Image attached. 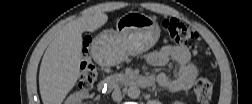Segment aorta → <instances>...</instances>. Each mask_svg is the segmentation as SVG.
<instances>
[{
    "label": "aorta",
    "mask_w": 252,
    "mask_h": 104,
    "mask_svg": "<svg viewBox=\"0 0 252 104\" xmlns=\"http://www.w3.org/2000/svg\"><path fill=\"white\" fill-rule=\"evenodd\" d=\"M140 89L137 86H130L127 90V95L131 99H137L140 96Z\"/></svg>",
    "instance_id": "1"
}]
</instances>
